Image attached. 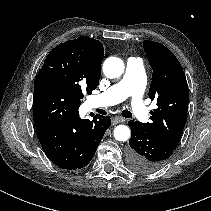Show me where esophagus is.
<instances>
[{
	"mask_svg": "<svg viewBox=\"0 0 211 211\" xmlns=\"http://www.w3.org/2000/svg\"><path fill=\"white\" fill-rule=\"evenodd\" d=\"M123 121H124V118L121 117V116H114V117L112 118V124H113V125H116V124L121 123V122H123Z\"/></svg>",
	"mask_w": 211,
	"mask_h": 211,
	"instance_id": "34e87169",
	"label": "esophagus"
}]
</instances>
